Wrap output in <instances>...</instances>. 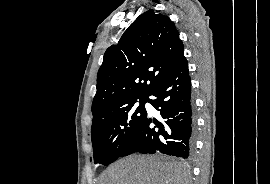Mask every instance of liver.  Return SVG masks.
<instances>
[{"label": "liver", "instance_id": "liver-1", "mask_svg": "<svg viewBox=\"0 0 270 184\" xmlns=\"http://www.w3.org/2000/svg\"><path fill=\"white\" fill-rule=\"evenodd\" d=\"M186 165L157 156L120 159L100 176L99 184H188Z\"/></svg>", "mask_w": 270, "mask_h": 184}]
</instances>
